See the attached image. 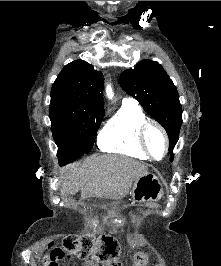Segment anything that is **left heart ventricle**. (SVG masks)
<instances>
[{"mask_svg":"<svg viewBox=\"0 0 221 266\" xmlns=\"http://www.w3.org/2000/svg\"><path fill=\"white\" fill-rule=\"evenodd\" d=\"M147 142L152 154L156 157H161L164 151V141L156 129L151 128L149 130Z\"/></svg>","mask_w":221,"mask_h":266,"instance_id":"left-heart-ventricle-1","label":"left heart ventricle"}]
</instances>
